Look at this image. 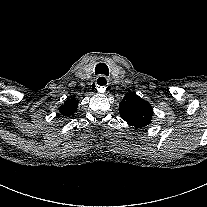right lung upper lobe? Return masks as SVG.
Returning <instances> with one entry per match:
<instances>
[{
  "label": "right lung upper lobe",
  "mask_w": 207,
  "mask_h": 207,
  "mask_svg": "<svg viewBox=\"0 0 207 207\" xmlns=\"http://www.w3.org/2000/svg\"><path fill=\"white\" fill-rule=\"evenodd\" d=\"M77 106L78 100L76 98L68 99L59 107V112L63 116H71L75 113Z\"/></svg>",
  "instance_id": "obj_1"
}]
</instances>
